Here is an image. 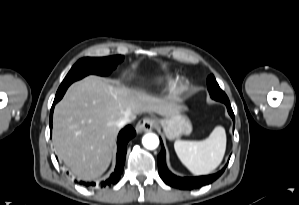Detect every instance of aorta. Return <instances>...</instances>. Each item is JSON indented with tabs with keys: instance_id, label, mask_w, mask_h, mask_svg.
Returning <instances> with one entry per match:
<instances>
[{
	"instance_id": "1",
	"label": "aorta",
	"mask_w": 299,
	"mask_h": 205,
	"mask_svg": "<svg viewBox=\"0 0 299 205\" xmlns=\"http://www.w3.org/2000/svg\"><path fill=\"white\" fill-rule=\"evenodd\" d=\"M142 144L145 148L149 150H154L159 145V138L154 133H147L142 138Z\"/></svg>"
}]
</instances>
